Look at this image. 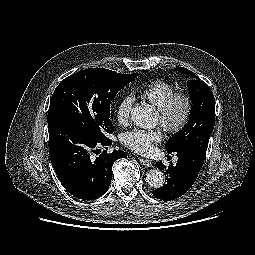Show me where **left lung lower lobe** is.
I'll use <instances>...</instances> for the list:
<instances>
[{
    "mask_svg": "<svg viewBox=\"0 0 255 255\" xmlns=\"http://www.w3.org/2000/svg\"><path fill=\"white\" fill-rule=\"evenodd\" d=\"M206 152L198 149H188L177 153L176 165L166 167L158 162L156 166L165 173L164 186L154 190L153 195L161 200H174L186 193L195 182Z\"/></svg>",
    "mask_w": 255,
    "mask_h": 255,
    "instance_id": "1",
    "label": "left lung lower lobe"
}]
</instances>
